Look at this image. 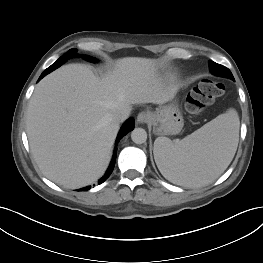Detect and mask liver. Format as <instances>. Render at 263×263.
Segmentation results:
<instances>
[{"mask_svg":"<svg viewBox=\"0 0 263 263\" xmlns=\"http://www.w3.org/2000/svg\"><path fill=\"white\" fill-rule=\"evenodd\" d=\"M176 85L165 86L156 61L125 57L103 78L83 64H68L43 78L29 101L26 131L42 173L66 188H80L105 172L119 122L113 114L133 104H164Z\"/></svg>","mask_w":263,"mask_h":263,"instance_id":"1","label":"liver"}]
</instances>
